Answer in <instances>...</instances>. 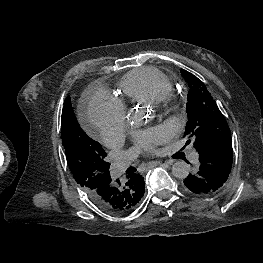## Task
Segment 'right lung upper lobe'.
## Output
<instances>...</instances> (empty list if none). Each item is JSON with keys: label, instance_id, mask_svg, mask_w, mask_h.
Listing matches in <instances>:
<instances>
[{"label": "right lung upper lobe", "instance_id": "obj_1", "mask_svg": "<svg viewBox=\"0 0 263 263\" xmlns=\"http://www.w3.org/2000/svg\"><path fill=\"white\" fill-rule=\"evenodd\" d=\"M144 191L145 186L143 183H132L131 185H129L128 199L126 200V203L124 205H122L115 211V213H126L135 209L138 206L141 198L143 197Z\"/></svg>", "mask_w": 263, "mask_h": 263}]
</instances>
